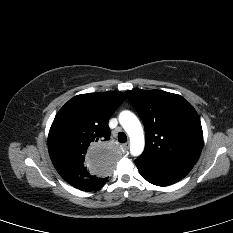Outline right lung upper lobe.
Masks as SVG:
<instances>
[{"label": "right lung upper lobe", "instance_id": "1", "mask_svg": "<svg viewBox=\"0 0 233 233\" xmlns=\"http://www.w3.org/2000/svg\"><path fill=\"white\" fill-rule=\"evenodd\" d=\"M119 91L88 93L70 99L57 113L48 135V150L57 172L68 183L108 175L114 151L108 120L124 102Z\"/></svg>", "mask_w": 233, "mask_h": 233}]
</instances>
